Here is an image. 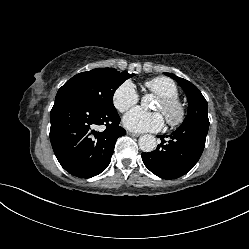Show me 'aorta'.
Here are the masks:
<instances>
[{
  "mask_svg": "<svg viewBox=\"0 0 249 249\" xmlns=\"http://www.w3.org/2000/svg\"><path fill=\"white\" fill-rule=\"evenodd\" d=\"M151 99L150 95H145L142 100V106H147ZM157 146L156 138L153 135L145 134L139 138V147L143 152H152Z\"/></svg>",
  "mask_w": 249,
  "mask_h": 249,
  "instance_id": "aorta-1",
  "label": "aorta"
}]
</instances>
